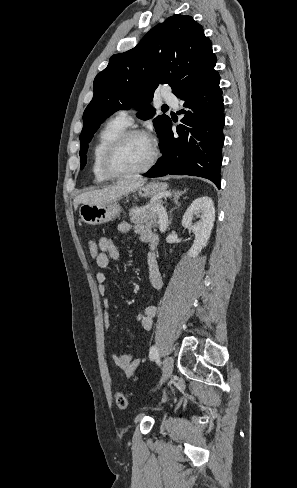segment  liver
<instances>
[{
  "label": "liver",
  "instance_id": "1",
  "mask_svg": "<svg viewBox=\"0 0 297 488\" xmlns=\"http://www.w3.org/2000/svg\"><path fill=\"white\" fill-rule=\"evenodd\" d=\"M147 179L138 176L122 180L116 185L99 190H92L80 194L75 199V208L79 203L83 204H108L117 201L124 194L139 189L146 183Z\"/></svg>",
  "mask_w": 297,
  "mask_h": 488
}]
</instances>
